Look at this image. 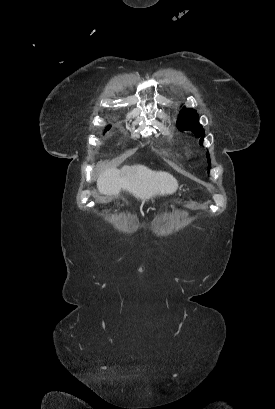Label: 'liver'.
I'll return each instance as SVG.
<instances>
[{
    "mask_svg": "<svg viewBox=\"0 0 275 409\" xmlns=\"http://www.w3.org/2000/svg\"><path fill=\"white\" fill-rule=\"evenodd\" d=\"M97 188L101 194H115L128 190L136 198H151L156 194H172L178 188V180L162 170H151L144 164L105 168L97 178Z\"/></svg>",
    "mask_w": 275,
    "mask_h": 409,
    "instance_id": "liver-1",
    "label": "liver"
}]
</instances>
